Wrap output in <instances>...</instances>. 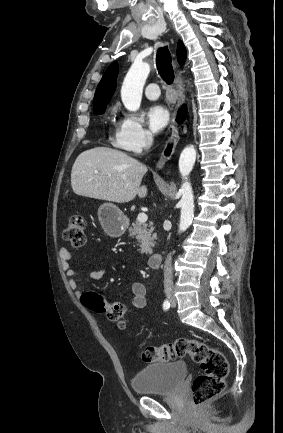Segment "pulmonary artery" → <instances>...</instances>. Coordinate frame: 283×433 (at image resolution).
<instances>
[{
	"label": "pulmonary artery",
	"instance_id": "1",
	"mask_svg": "<svg viewBox=\"0 0 283 433\" xmlns=\"http://www.w3.org/2000/svg\"><path fill=\"white\" fill-rule=\"evenodd\" d=\"M157 86L156 83H148L145 86V96L150 100H156L159 98L160 90L159 88H155Z\"/></svg>",
	"mask_w": 283,
	"mask_h": 433
}]
</instances>
